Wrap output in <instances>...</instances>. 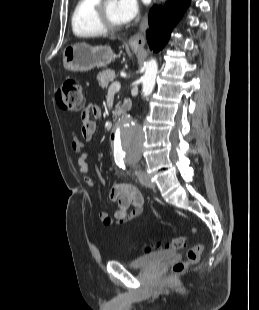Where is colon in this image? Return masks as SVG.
<instances>
[{
  "instance_id": "obj_1",
  "label": "colon",
  "mask_w": 259,
  "mask_h": 310,
  "mask_svg": "<svg viewBox=\"0 0 259 310\" xmlns=\"http://www.w3.org/2000/svg\"><path fill=\"white\" fill-rule=\"evenodd\" d=\"M56 101L58 106L69 112H80L84 109V96L82 85L75 78L66 79L56 93ZM186 245V237L178 236L165 244H159L156 247H147L145 251L152 249H180ZM203 246L195 244L188 248L186 259L179 261L173 266L174 272L184 271L188 265L195 264L199 261Z\"/></svg>"
}]
</instances>
